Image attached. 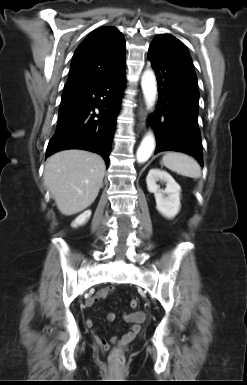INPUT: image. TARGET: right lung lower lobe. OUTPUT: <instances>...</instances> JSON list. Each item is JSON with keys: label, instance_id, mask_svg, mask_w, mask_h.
Masks as SVG:
<instances>
[{"label": "right lung lower lobe", "instance_id": "obj_1", "mask_svg": "<svg viewBox=\"0 0 247 385\" xmlns=\"http://www.w3.org/2000/svg\"><path fill=\"white\" fill-rule=\"evenodd\" d=\"M125 81L124 67L115 75L62 99L46 158L60 150L84 149L102 155L108 165ZM94 108H98L99 114Z\"/></svg>", "mask_w": 247, "mask_h": 385}]
</instances>
